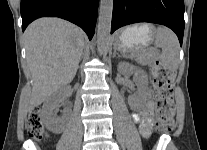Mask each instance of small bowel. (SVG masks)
Segmentation results:
<instances>
[{
  "label": "small bowel",
  "instance_id": "small-bowel-1",
  "mask_svg": "<svg viewBox=\"0 0 207 150\" xmlns=\"http://www.w3.org/2000/svg\"><path fill=\"white\" fill-rule=\"evenodd\" d=\"M133 118L139 126V130L144 137H147L151 133L153 125V103L149 101L147 103V110L143 115L138 113L133 114Z\"/></svg>",
  "mask_w": 207,
  "mask_h": 150
}]
</instances>
